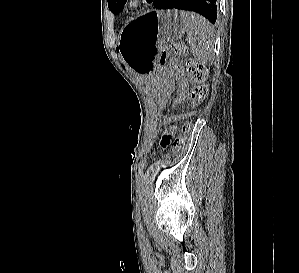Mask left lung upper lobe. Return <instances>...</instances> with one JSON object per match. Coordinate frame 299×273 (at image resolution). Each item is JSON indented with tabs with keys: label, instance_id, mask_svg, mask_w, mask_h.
<instances>
[{
	"label": "left lung upper lobe",
	"instance_id": "obj_1",
	"mask_svg": "<svg viewBox=\"0 0 299 273\" xmlns=\"http://www.w3.org/2000/svg\"><path fill=\"white\" fill-rule=\"evenodd\" d=\"M126 1L127 0H108V7L113 13L118 14L123 10ZM147 1L151 3L153 0Z\"/></svg>",
	"mask_w": 299,
	"mask_h": 273
}]
</instances>
